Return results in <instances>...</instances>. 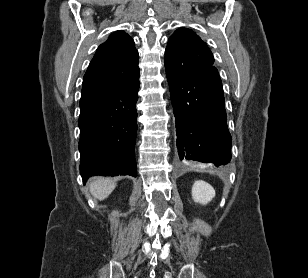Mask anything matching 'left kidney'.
Returning a JSON list of instances; mask_svg holds the SVG:
<instances>
[{
    "label": "left kidney",
    "instance_id": "obj_1",
    "mask_svg": "<svg viewBox=\"0 0 308 278\" xmlns=\"http://www.w3.org/2000/svg\"><path fill=\"white\" fill-rule=\"evenodd\" d=\"M215 197V190L205 181H195L192 187V199L196 203L206 205Z\"/></svg>",
    "mask_w": 308,
    "mask_h": 278
}]
</instances>
